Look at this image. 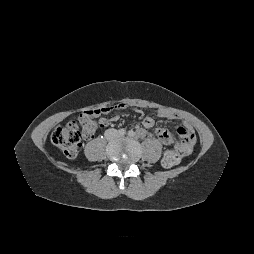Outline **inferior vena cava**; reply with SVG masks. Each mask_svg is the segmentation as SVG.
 <instances>
[{
  "label": "inferior vena cava",
  "instance_id": "inferior-vena-cava-1",
  "mask_svg": "<svg viewBox=\"0 0 254 254\" xmlns=\"http://www.w3.org/2000/svg\"><path fill=\"white\" fill-rule=\"evenodd\" d=\"M109 131H111V130L106 131V133H105L106 136H107V134L109 133Z\"/></svg>",
  "mask_w": 254,
  "mask_h": 254
}]
</instances>
